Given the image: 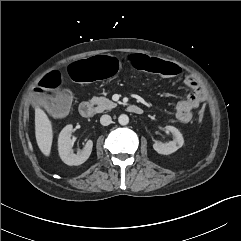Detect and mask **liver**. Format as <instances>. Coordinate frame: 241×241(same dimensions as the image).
<instances>
[{"label":"liver","instance_id":"1","mask_svg":"<svg viewBox=\"0 0 241 241\" xmlns=\"http://www.w3.org/2000/svg\"><path fill=\"white\" fill-rule=\"evenodd\" d=\"M35 136L40 151L49 156L51 152L53 130L46 113L39 107L35 108Z\"/></svg>","mask_w":241,"mask_h":241}]
</instances>
